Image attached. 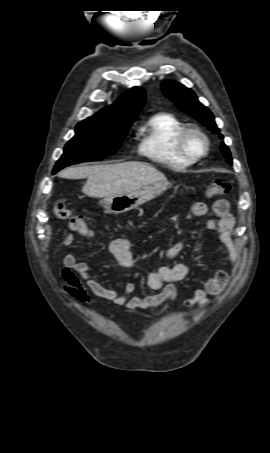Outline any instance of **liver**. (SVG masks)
Instances as JSON below:
<instances>
[{"mask_svg": "<svg viewBox=\"0 0 270 453\" xmlns=\"http://www.w3.org/2000/svg\"><path fill=\"white\" fill-rule=\"evenodd\" d=\"M66 179H82L87 182L82 192L89 197L106 198L124 195L147 185L166 181L164 174L153 166L129 161L117 164L71 167L59 172Z\"/></svg>", "mask_w": 270, "mask_h": 453, "instance_id": "1", "label": "liver"}]
</instances>
